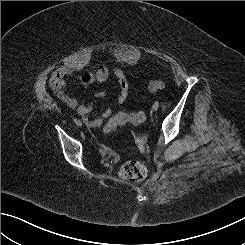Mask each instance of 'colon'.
<instances>
[{"instance_id":"5ec220e1","label":"colon","mask_w":245,"mask_h":245,"mask_svg":"<svg viewBox=\"0 0 245 245\" xmlns=\"http://www.w3.org/2000/svg\"><path fill=\"white\" fill-rule=\"evenodd\" d=\"M165 88V82L159 79H151L148 83V89L156 92ZM146 119L145 112L141 111L133 114L120 113L109 120L105 126V131L110 132L119 124L130 122L132 124H140ZM147 170L145 165L139 159L127 161L120 169L119 176L121 179L136 183L145 179Z\"/></svg>"}]
</instances>
